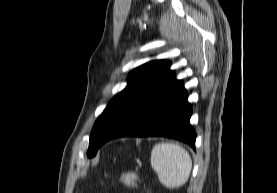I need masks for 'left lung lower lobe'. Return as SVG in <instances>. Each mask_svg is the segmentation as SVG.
Masks as SVG:
<instances>
[{"label": "left lung lower lobe", "mask_w": 277, "mask_h": 193, "mask_svg": "<svg viewBox=\"0 0 277 193\" xmlns=\"http://www.w3.org/2000/svg\"><path fill=\"white\" fill-rule=\"evenodd\" d=\"M187 97L183 82L173 75L130 105L104 134L102 144L124 136H164L195 148L196 132L189 122L192 108Z\"/></svg>", "instance_id": "left-lung-lower-lobe-1"}]
</instances>
